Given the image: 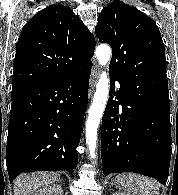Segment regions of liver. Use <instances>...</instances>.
<instances>
[{"instance_id": "obj_1", "label": "liver", "mask_w": 178, "mask_h": 195, "mask_svg": "<svg viewBox=\"0 0 178 195\" xmlns=\"http://www.w3.org/2000/svg\"><path fill=\"white\" fill-rule=\"evenodd\" d=\"M59 179L60 176L57 173L22 174L14 181V195H32L38 188L58 182Z\"/></svg>"}]
</instances>
